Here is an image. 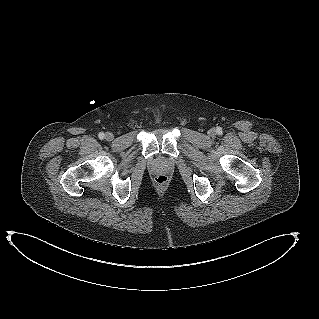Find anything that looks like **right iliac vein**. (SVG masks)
I'll return each instance as SVG.
<instances>
[{"label": "right iliac vein", "mask_w": 319, "mask_h": 319, "mask_svg": "<svg viewBox=\"0 0 319 319\" xmlns=\"http://www.w3.org/2000/svg\"><path fill=\"white\" fill-rule=\"evenodd\" d=\"M113 138H114V135L112 133H110V132L106 133L105 139L107 141H111V140H113Z\"/></svg>", "instance_id": "63e3f726"}]
</instances>
